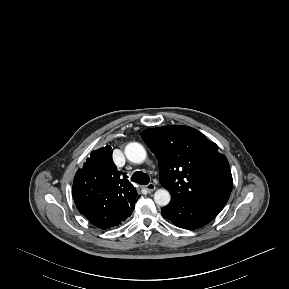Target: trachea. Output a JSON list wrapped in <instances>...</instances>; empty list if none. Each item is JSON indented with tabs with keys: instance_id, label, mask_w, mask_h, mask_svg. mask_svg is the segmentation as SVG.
Instances as JSON below:
<instances>
[{
	"instance_id": "3493384b",
	"label": "trachea",
	"mask_w": 289,
	"mask_h": 289,
	"mask_svg": "<svg viewBox=\"0 0 289 289\" xmlns=\"http://www.w3.org/2000/svg\"><path fill=\"white\" fill-rule=\"evenodd\" d=\"M131 180L141 185H147L150 182V177L146 173L136 171L132 175Z\"/></svg>"
}]
</instances>
